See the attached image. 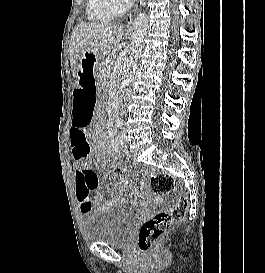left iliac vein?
<instances>
[{
  "label": "left iliac vein",
  "instance_id": "1",
  "mask_svg": "<svg viewBox=\"0 0 265 273\" xmlns=\"http://www.w3.org/2000/svg\"><path fill=\"white\" fill-rule=\"evenodd\" d=\"M120 140H121V144L123 146L128 145V137H127V134H126L125 130L121 131V133H120Z\"/></svg>",
  "mask_w": 265,
  "mask_h": 273
}]
</instances>
